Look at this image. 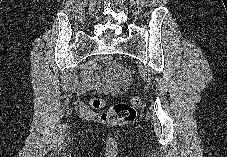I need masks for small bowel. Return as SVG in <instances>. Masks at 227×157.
<instances>
[{
  "instance_id": "c3829d8e",
  "label": "small bowel",
  "mask_w": 227,
  "mask_h": 157,
  "mask_svg": "<svg viewBox=\"0 0 227 157\" xmlns=\"http://www.w3.org/2000/svg\"><path fill=\"white\" fill-rule=\"evenodd\" d=\"M87 82L90 88L98 87L104 91H118L125 84L126 79L119 72H113L98 78H94L89 73Z\"/></svg>"
}]
</instances>
